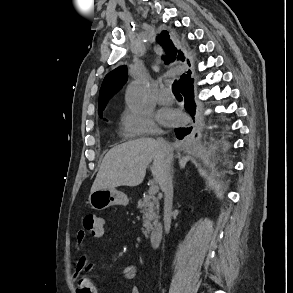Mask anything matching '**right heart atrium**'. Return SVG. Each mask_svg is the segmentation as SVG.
Returning a JSON list of instances; mask_svg holds the SVG:
<instances>
[{"label":"right heart atrium","mask_w":293,"mask_h":293,"mask_svg":"<svg viewBox=\"0 0 293 293\" xmlns=\"http://www.w3.org/2000/svg\"><path fill=\"white\" fill-rule=\"evenodd\" d=\"M121 125L130 137L158 135L161 129L154 120L153 115L146 111L127 109L121 114Z\"/></svg>","instance_id":"1"}]
</instances>
